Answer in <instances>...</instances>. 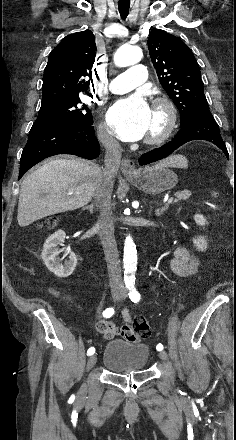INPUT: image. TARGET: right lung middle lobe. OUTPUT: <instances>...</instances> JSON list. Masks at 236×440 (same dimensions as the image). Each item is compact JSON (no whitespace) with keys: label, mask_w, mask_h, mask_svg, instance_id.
Here are the masks:
<instances>
[{"label":"right lung middle lobe","mask_w":236,"mask_h":440,"mask_svg":"<svg viewBox=\"0 0 236 440\" xmlns=\"http://www.w3.org/2000/svg\"><path fill=\"white\" fill-rule=\"evenodd\" d=\"M52 119L77 124H93V117L85 104H82L79 97L41 105L37 120Z\"/></svg>","instance_id":"1"}]
</instances>
